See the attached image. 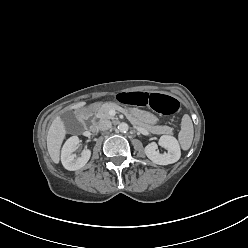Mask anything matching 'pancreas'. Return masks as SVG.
Here are the masks:
<instances>
[{
    "instance_id": "obj_1",
    "label": "pancreas",
    "mask_w": 248,
    "mask_h": 248,
    "mask_svg": "<svg viewBox=\"0 0 248 248\" xmlns=\"http://www.w3.org/2000/svg\"><path fill=\"white\" fill-rule=\"evenodd\" d=\"M111 109L124 112L133 124L144 127L152 133H155V134H172L173 129L171 127H169V126H153V125L143 123L140 120H138L132 114V112L128 111L127 109L122 108L121 106H119L118 104L113 103V102L105 103L101 107H99L98 111H97V117L100 119H113L114 117L109 114V111Z\"/></svg>"
}]
</instances>
